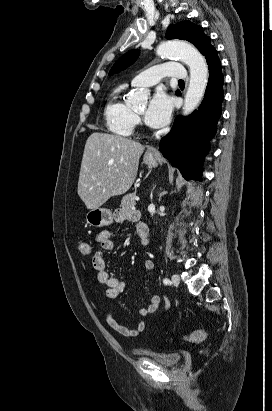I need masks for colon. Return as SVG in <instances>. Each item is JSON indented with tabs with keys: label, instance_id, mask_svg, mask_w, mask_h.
Instances as JSON below:
<instances>
[{
	"label": "colon",
	"instance_id": "1",
	"mask_svg": "<svg viewBox=\"0 0 272 411\" xmlns=\"http://www.w3.org/2000/svg\"><path fill=\"white\" fill-rule=\"evenodd\" d=\"M79 250L83 255H89L91 253V247L88 242L82 241L79 244ZM205 331L198 329L192 333H188L183 336V339L188 342H200L205 338Z\"/></svg>",
	"mask_w": 272,
	"mask_h": 411
}]
</instances>
